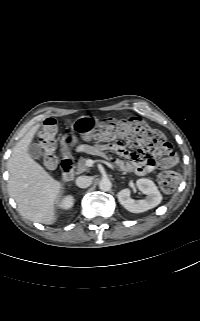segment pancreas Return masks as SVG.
<instances>
[{"instance_id": "1", "label": "pancreas", "mask_w": 200, "mask_h": 321, "mask_svg": "<svg viewBox=\"0 0 200 321\" xmlns=\"http://www.w3.org/2000/svg\"><path fill=\"white\" fill-rule=\"evenodd\" d=\"M86 161H87L86 158L80 157V159L78 160V163H77V171H78V173L88 172L89 171V168L86 165Z\"/></svg>"}]
</instances>
